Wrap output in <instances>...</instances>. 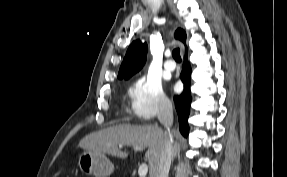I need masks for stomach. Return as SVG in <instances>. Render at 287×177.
<instances>
[{
    "label": "stomach",
    "mask_w": 287,
    "mask_h": 177,
    "mask_svg": "<svg viewBox=\"0 0 287 177\" xmlns=\"http://www.w3.org/2000/svg\"><path fill=\"white\" fill-rule=\"evenodd\" d=\"M78 166L84 174L108 177L114 172V165L104 153L84 150L78 158Z\"/></svg>",
    "instance_id": "obj_1"
}]
</instances>
